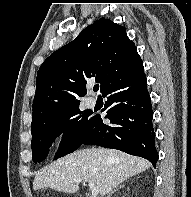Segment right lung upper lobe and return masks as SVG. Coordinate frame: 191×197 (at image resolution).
<instances>
[{"mask_svg":"<svg viewBox=\"0 0 191 197\" xmlns=\"http://www.w3.org/2000/svg\"><path fill=\"white\" fill-rule=\"evenodd\" d=\"M143 65L126 29L101 18L72 42L52 53L37 72L31 126L78 106L95 77L101 91Z\"/></svg>","mask_w":191,"mask_h":197,"instance_id":"cb5924a9","label":"right lung upper lobe"}]
</instances>
